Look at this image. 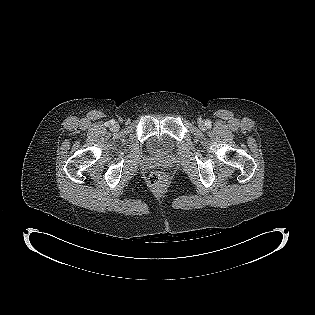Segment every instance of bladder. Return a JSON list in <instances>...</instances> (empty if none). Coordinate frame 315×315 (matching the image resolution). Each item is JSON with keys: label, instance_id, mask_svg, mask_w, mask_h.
Masks as SVG:
<instances>
[{"label": "bladder", "instance_id": "31cf9c89", "mask_svg": "<svg viewBox=\"0 0 315 315\" xmlns=\"http://www.w3.org/2000/svg\"><path fill=\"white\" fill-rule=\"evenodd\" d=\"M150 148L155 154H167L171 150V140L166 136L154 137L150 141Z\"/></svg>", "mask_w": 315, "mask_h": 315}]
</instances>
